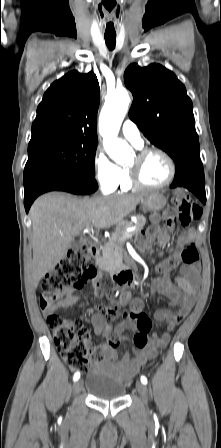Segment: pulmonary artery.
I'll list each match as a JSON object with an SVG mask.
<instances>
[{"label": "pulmonary artery", "instance_id": "1", "mask_svg": "<svg viewBox=\"0 0 221 448\" xmlns=\"http://www.w3.org/2000/svg\"><path fill=\"white\" fill-rule=\"evenodd\" d=\"M123 136L136 148H141L144 144L141 133L137 125L130 119L124 121L122 125Z\"/></svg>", "mask_w": 221, "mask_h": 448}]
</instances>
